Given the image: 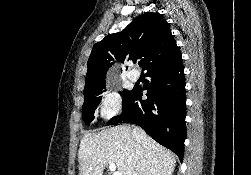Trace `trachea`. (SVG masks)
Returning a JSON list of instances; mask_svg holds the SVG:
<instances>
[{"label":"trachea","instance_id":"1","mask_svg":"<svg viewBox=\"0 0 251 175\" xmlns=\"http://www.w3.org/2000/svg\"><path fill=\"white\" fill-rule=\"evenodd\" d=\"M140 67L142 66V63H139Z\"/></svg>","mask_w":251,"mask_h":175}]
</instances>
